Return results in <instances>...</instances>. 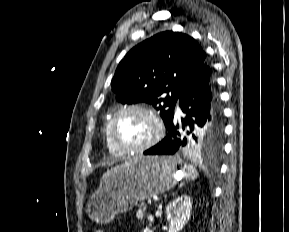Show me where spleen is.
Listing matches in <instances>:
<instances>
[{
    "instance_id": "obj_1",
    "label": "spleen",
    "mask_w": 289,
    "mask_h": 232,
    "mask_svg": "<svg viewBox=\"0 0 289 232\" xmlns=\"http://www.w3.org/2000/svg\"><path fill=\"white\" fill-rule=\"evenodd\" d=\"M197 176H198V173L192 165H187L183 169V177H185L186 179H193L194 180L197 178Z\"/></svg>"
}]
</instances>
